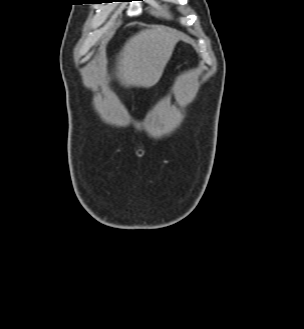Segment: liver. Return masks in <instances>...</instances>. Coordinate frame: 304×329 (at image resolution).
I'll return each instance as SVG.
<instances>
[{"label":"liver","instance_id":"6515ba94","mask_svg":"<svg viewBox=\"0 0 304 329\" xmlns=\"http://www.w3.org/2000/svg\"><path fill=\"white\" fill-rule=\"evenodd\" d=\"M179 39V32L165 26L141 30L121 50L117 58L116 77L126 87L154 86Z\"/></svg>","mask_w":304,"mask_h":329}]
</instances>
